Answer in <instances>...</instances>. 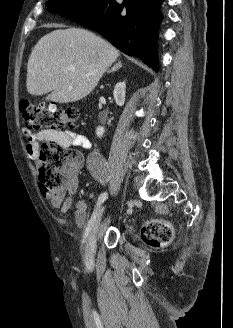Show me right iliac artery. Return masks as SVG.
Listing matches in <instances>:
<instances>
[{"instance_id": "82829eb1", "label": "right iliac artery", "mask_w": 233, "mask_h": 328, "mask_svg": "<svg viewBox=\"0 0 233 328\" xmlns=\"http://www.w3.org/2000/svg\"><path fill=\"white\" fill-rule=\"evenodd\" d=\"M106 162L104 158L99 154V153H93L90 158V167L92 170V175L98 180L100 183H105L106 178L104 176V171L106 169ZM108 195L106 192L102 193L97 201L96 209L93 212L90 220L88 221L85 233H84V238L82 241V244L84 245L86 243V240L91 232L93 223L96 218L97 210L99 206L107 199Z\"/></svg>"}]
</instances>
